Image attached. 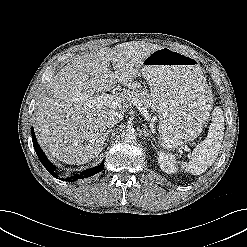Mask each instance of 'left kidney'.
<instances>
[{"label":"left kidney","instance_id":"left-kidney-1","mask_svg":"<svg viewBox=\"0 0 247 247\" xmlns=\"http://www.w3.org/2000/svg\"><path fill=\"white\" fill-rule=\"evenodd\" d=\"M158 157V163L162 171L171 174L177 172L176 159L172 154H166L160 152Z\"/></svg>","mask_w":247,"mask_h":247}]
</instances>
